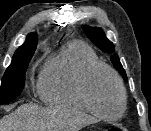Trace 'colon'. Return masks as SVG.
Returning a JSON list of instances; mask_svg holds the SVG:
<instances>
[{
	"instance_id": "colon-1",
	"label": "colon",
	"mask_w": 151,
	"mask_h": 131,
	"mask_svg": "<svg viewBox=\"0 0 151 131\" xmlns=\"http://www.w3.org/2000/svg\"><path fill=\"white\" fill-rule=\"evenodd\" d=\"M105 131H126V130L118 126H113L111 128L106 129Z\"/></svg>"
}]
</instances>
